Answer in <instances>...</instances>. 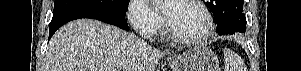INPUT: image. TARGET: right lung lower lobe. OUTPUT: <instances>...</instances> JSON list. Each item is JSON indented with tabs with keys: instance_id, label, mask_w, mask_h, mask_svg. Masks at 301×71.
Masks as SVG:
<instances>
[{
	"instance_id": "1",
	"label": "right lung lower lobe",
	"mask_w": 301,
	"mask_h": 71,
	"mask_svg": "<svg viewBox=\"0 0 301 71\" xmlns=\"http://www.w3.org/2000/svg\"><path fill=\"white\" fill-rule=\"evenodd\" d=\"M80 18H90L117 26L124 30H129L128 24L124 19L123 15L119 13L92 6H75L66 9L59 10L53 13V18L50 22L49 27V39L55 33V31L60 28L65 23L80 19Z\"/></svg>"
}]
</instances>
